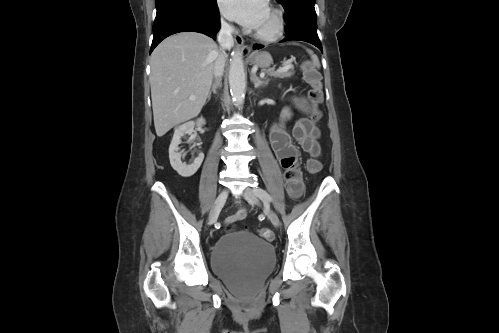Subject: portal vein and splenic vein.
Instances as JSON below:
<instances>
[{
  "label": "portal vein and splenic vein",
  "instance_id": "18ae733b",
  "mask_svg": "<svg viewBox=\"0 0 499 333\" xmlns=\"http://www.w3.org/2000/svg\"><path fill=\"white\" fill-rule=\"evenodd\" d=\"M290 67H292V65H286L285 67L280 68V69H288V68H290ZM264 76H265V73H261L260 77H261V78H263ZM189 99H190V100H194V99H195V96H193V95H192V96H190V97H189Z\"/></svg>",
  "mask_w": 499,
  "mask_h": 333
}]
</instances>
